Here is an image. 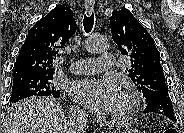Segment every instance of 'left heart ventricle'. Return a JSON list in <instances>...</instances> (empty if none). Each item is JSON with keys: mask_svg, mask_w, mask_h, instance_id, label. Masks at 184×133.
I'll use <instances>...</instances> for the list:
<instances>
[{"mask_svg": "<svg viewBox=\"0 0 184 133\" xmlns=\"http://www.w3.org/2000/svg\"><path fill=\"white\" fill-rule=\"evenodd\" d=\"M123 108V99L121 97V95H119V98L114 106V108L112 109V112L115 113V112H118L120 111L121 109Z\"/></svg>", "mask_w": 184, "mask_h": 133, "instance_id": "left-heart-ventricle-1", "label": "left heart ventricle"}]
</instances>
